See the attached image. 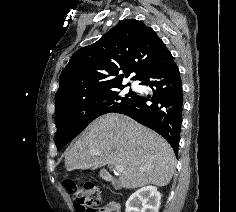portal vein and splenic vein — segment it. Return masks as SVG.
I'll use <instances>...</instances> for the list:
<instances>
[{
  "label": "portal vein and splenic vein",
  "mask_w": 236,
  "mask_h": 212,
  "mask_svg": "<svg viewBox=\"0 0 236 212\" xmlns=\"http://www.w3.org/2000/svg\"><path fill=\"white\" fill-rule=\"evenodd\" d=\"M91 154H93V155H100L101 152H100L99 150H92V151H91ZM115 169H116V171H117L118 173H121V172L124 171V168H123L122 165H117V166H115Z\"/></svg>",
  "instance_id": "portal-vein-and-splenic-vein-1"
}]
</instances>
